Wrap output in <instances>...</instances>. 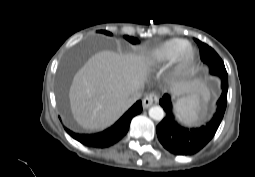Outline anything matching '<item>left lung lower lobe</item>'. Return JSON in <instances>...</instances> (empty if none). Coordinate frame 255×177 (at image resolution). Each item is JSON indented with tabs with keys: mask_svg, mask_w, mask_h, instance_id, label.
Returning a JSON list of instances; mask_svg holds the SVG:
<instances>
[{
	"mask_svg": "<svg viewBox=\"0 0 255 177\" xmlns=\"http://www.w3.org/2000/svg\"><path fill=\"white\" fill-rule=\"evenodd\" d=\"M222 94L217 101L213 118L199 128L183 127L174 120L170 96L165 94L160 105L166 112L165 118L157 125L156 131L163 147L174 155H193L200 151L214 137L226 110L228 78H221Z\"/></svg>",
	"mask_w": 255,
	"mask_h": 177,
	"instance_id": "0a47b994",
	"label": "left lung lower lobe"
}]
</instances>
